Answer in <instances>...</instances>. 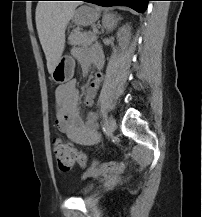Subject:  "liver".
Returning a JSON list of instances; mask_svg holds the SVG:
<instances>
[{"mask_svg": "<svg viewBox=\"0 0 202 217\" xmlns=\"http://www.w3.org/2000/svg\"><path fill=\"white\" fill-rule=\"evenodd\" d=\"M78 3L40 2L36 7V27L52 74L65 47V29Z\"/></svg>", "mask_w": 202, "mask_h": 217, "instance_id": "obj_1", "label": "liver"}]
</instances>
